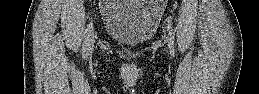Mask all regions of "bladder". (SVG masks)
Returning <instances> with one entry per match:
<instances>
[{"instance_id": "obj_1", "label": "bladder", "mask_w": 259, "mask_h": 94, "mask_svg": "<svg viewBox=\"0 0 259 94\" xmlns=\"http://www.w3.org/2000/svg\"><path fill=\"white\" fill-rule=\"evenodd\" d=\"M162 10L155 1L111 0L102 8L105 33L117 43L137 48L155 34Z\"/></svg>"}]
</instances>
